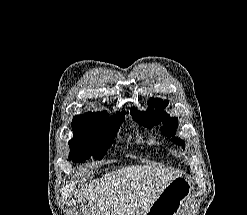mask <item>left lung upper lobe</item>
I'll list each match as a JSON object with an SVG mask.
<instances>
[{
    "mask_svg": "<svg viewBox=\"0 0 247 215\" xmlns=\"http://www.w3.org/2000/svg\"><path fill=\"white\" fill-rule=\"evenodd\" d=\"M168 103L169 101H163L157 98L151 99L148 102L150 108H148L146 112L135 111L133 108L131 110V115L136 121L142 123L146 127H151L162 122L163 127L161 128V132L164 135L171 137L175 134V129L178 127V119L169 117V115L163 111V108H165ZM153 108H156V111H153ZM172 140L183 147L185 146L184 141L179 138L172 137Z\"/></svg>",
    "mask_w": 247,
    "mask_h": 215,
    "instance_id": "left-lung-upper-lobe-1",
    "label": "left lung upper lobe"
}]
</instances>
